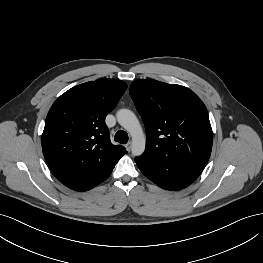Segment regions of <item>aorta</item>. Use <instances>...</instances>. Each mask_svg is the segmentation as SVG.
Instances as JSON below:
<instances>
[{
  "label": "aorta",
  "instance_id": "aorta-1",
  "mask_svg": "<svg viewBox=\"0 0 263 263\" xmlns=\"http://www.w3.org/2000/svg\"><path fill=\"white\" fill-rule=\"evenodd\" d=\"M118 123L132 137L131 151L134 156H140L145 151L146 139L136 115L128 109H120L116 113Z\"/></svg>",
  "mask_w": 263,
  "mask_h": 263
}]
</instances>
